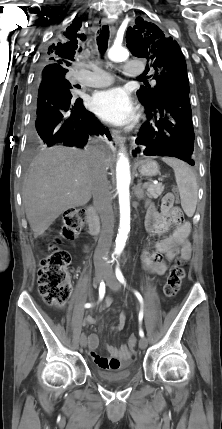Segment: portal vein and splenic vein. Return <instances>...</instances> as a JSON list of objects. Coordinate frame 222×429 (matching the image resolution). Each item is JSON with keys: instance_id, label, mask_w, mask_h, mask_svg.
<instances>
[{"instance_id": "18ae733b", "label": "portal vein and splenic vein", "mask_w": 222, "mask_h": 429, "mask_svg": "<svg viewBox=\"0 0 222 429\" xmlns=\"http://www.w3.org/2000/svg\"><path fill=\"white\" fill-rule=\"evenodd\" d=\"M149 183H145L144 186H147Z\"/></svg>"}]
</instances>
